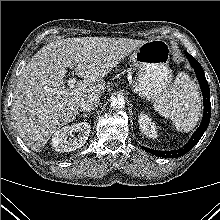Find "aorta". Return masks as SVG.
Returning <instances> with one entry per match:
<instances>
[{
  "label": "aorta",
  "instance_id": "obj_1",
  "mask_svg": "<svg viewBox=\"0 0 220 220\" xmlns=\"http://www.w3.org/2000/svg\"><path fill=\"white\" fill-rule=\"evenodd\" d=\"M110 106L115 110H120L125 106V100L122 96L112 97L110 99Z\"/></svg>",
  "mask_w": 220,
  "mask_h": 220
}]
</instances>
